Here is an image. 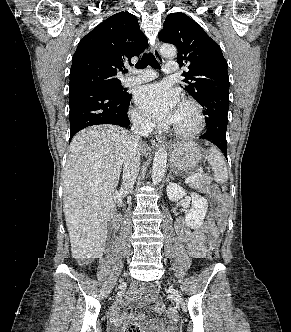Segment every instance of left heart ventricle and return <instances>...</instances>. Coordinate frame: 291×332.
Masks as SVG:
<instances>
[{"instance_id": "b2bd125f", "label": "left heart ventricle", "mask_w": 291, "mask_h": 332, "mask_svg": "<svg viewBox=\"0 0 291 332\" xmlns=\"http://www.w3.org/2000/svg\"><path fill=\"white\" fill-rule=\"evenodd\" d=\"M174 126L182 129L191 128L194 124V116L192 110L183 105H179L172 123Z\"/></svg>"}]
</instances>
